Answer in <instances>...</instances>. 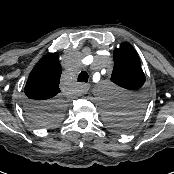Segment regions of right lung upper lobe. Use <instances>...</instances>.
Listing matches in <instances>:
<instances>
[{
	"instance_id": "1",
	"label": "right lung upper lobe",
	"mask_w": 174,
	"mask_h": 174,
	"mask_svg": "<svg viewBox=\"0 0 174 174\" xmlns=\"http://www.w3.org/2000/svg\"><path fill=\"white\" fill-rule=\"evenodd\" d=\"M61 71L57 53H48L39 60L24 88L31 104H46L59 99Z\"/></svg>"
}]
</instances>
